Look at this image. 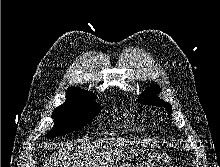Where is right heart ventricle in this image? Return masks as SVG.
I'll return each mask as SVG.
<instances>
[{
  "instance_id": "1",
  "label": "right heart ventricle",
  "mask_w": 220,
  "mask_h": 167,
  "mask_svg": "<svg viewBox=\"0 0 220 167\" xmlns=\"http://www.w3.org/2000/svg\"><path fill=\"white\" fill-rule=\"evenodd\" d=\"M132 130L134 132H140V133H143L144 132V129L142 127H133Z\"/></svg>"
}]
</instances>
